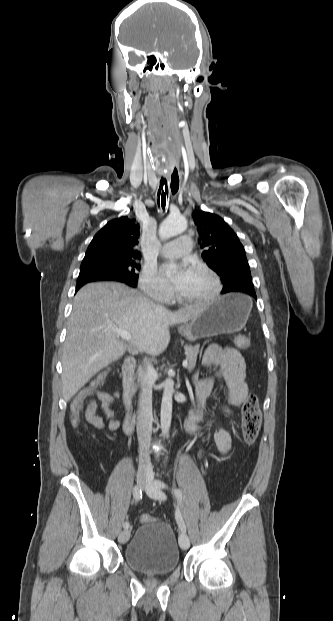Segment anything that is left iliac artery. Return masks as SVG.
Returning a JSON list of instances; mask_svg holds the SVG:
<instances>
[{"label":"left iliac artery","instance_id":"44dca946","mask_svg":"<svg viewBox=\"0 0 333 621\" xmlns=\"http://www.w3.org/2000/svg\"><path fill=\"white\" fill-rule=\"evenodd\" d=\"M155 485L157 487H159V488H162V489H164V488L167 489L168 488V486L162 480H156L155 481ZM172 492L175 495V497L177 499V502H178V506H177V509H176V512H175L176 522H177L180 530L182 532H186V525H185V522L183 520L181 511H180V508H179V506L181 505V501H182V492L178 488L172 489Z\"/></svg>","mask_w":333,"mask_h":621}]
</instances>
